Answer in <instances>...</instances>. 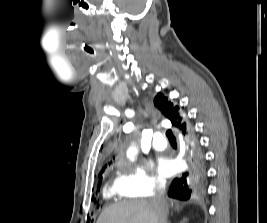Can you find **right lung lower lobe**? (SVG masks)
Instances as JSON below:
<instances>
[{
	"label": "right lung lower lobe",
	"instance_id": "98d812e1",
	"mask_svg": "<svg viewBox=\"0 0 267 223\" xmlns=\"http://www.w3.org/2000/svg\"><path fill=\"white\" fill-rule=\"evenodd\" d=\"M181 134L185 141L193 143L192 148H190V165L187 171L172 181L168 195L179 200H187L204 179V164L189 124L182 130Z\"/></svg>",
	"mask_w": 267,
	"mask_h": 223
}]
</instances>
